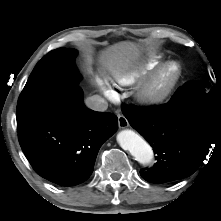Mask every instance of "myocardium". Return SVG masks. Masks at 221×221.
I'll return each mask as SVG.
<instances>
[{"mask_svg": "<svg viewBox=\"0 0 221 221\" xmlns=\"http://www.w3.org/2000/svg\"><path fill=\"white\" fill-rule=\"evenodd\" d=\"M174 69L171 78L162 83L165 74ZM183 74V69L178 61H169L158 67L138 87L136 99L144 106L152 107L164 103L174 92Z\"/></svg>", "mask_w": 221, "mask_h": 221, "instance_id": "f54148a6", "label": "myocardium"}]
</instances>
